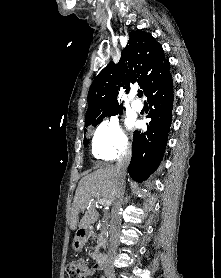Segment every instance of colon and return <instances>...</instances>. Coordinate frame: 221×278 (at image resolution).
Returning a JSON list of instances; mask_svg holds the SVG:
<instances>
[{"label": "colon", "instance_id": "colon-1", "mask_svg": "<svg viewBox=\"0 0 221 278\" xmlns=\"http://www.w3.org/2000/svg\"><path fill=\"white\" fill-rule=\"evenodd\" d=\"M89 270L88 263L82 259L71 260L67 266L69 278H86Z\"/></svg>", "mask_w": 221, "mask_h": 278}]
</instances>
